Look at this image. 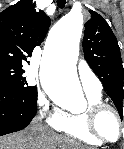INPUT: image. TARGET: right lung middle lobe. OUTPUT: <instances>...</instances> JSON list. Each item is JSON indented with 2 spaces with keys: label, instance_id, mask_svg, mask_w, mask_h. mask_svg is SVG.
Returning <instances> with one entry per match:
<instances>
[{
  "label": "right lung middle lobe",
  "instance_id": "1",
  "mask_svg": "<svg viewBox=\"0 0 124 149\" xmlns=\"http://www.w3.org/2000/svg\"><path fill=\"white\" fill-rule=\"evenodd\" d=\"M23 70L0 66V83L6 84L14 90L31 97H36L37 88L27 86L26 78L22 77Z\"/></svg>",
  "mask_w": 124,
  "mask_h": 149
}]
</instances>
